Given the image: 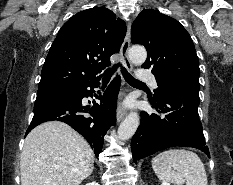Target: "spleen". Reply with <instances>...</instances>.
<instances>
[{
    "instance_id": "spleen-1",
    "label": "spleen",
    "mask_w": 233,
    "mask_h": 185,
    "mask_svg": "<svg viewBox=\"0 0 233 185\" xmlns=\"http://www.w3.org/2000/svg\"><path fill=\"white\" fill-rule=\"evenodd\" d=\"M152 168L163 183L207 185L204 164L199 156L185 149H170L152 159Z\"/></svg>"
}]
</instances>
